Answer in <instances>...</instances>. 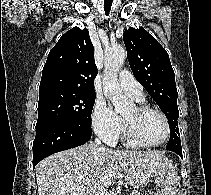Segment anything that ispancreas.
Instances as JSON below:
<instances>
[{
    "instance_id": "pancreas-1",
    "label": "pancreas",
    "mask_w": 211,
    "mask_h": 195,
    "mask_svg": "<svg viewBox=\"0 0 211 195\" xmlns=\"http://www.w3.org/2000/svg\"><path fill=\"white\" fill-rule=\"evenodd\" d=\"M130 195H144V194H142V193H140L138 191H133Z\"/></svg>"
}]
</instances>
